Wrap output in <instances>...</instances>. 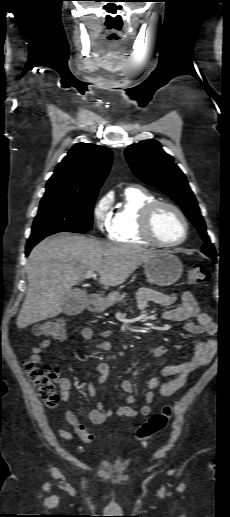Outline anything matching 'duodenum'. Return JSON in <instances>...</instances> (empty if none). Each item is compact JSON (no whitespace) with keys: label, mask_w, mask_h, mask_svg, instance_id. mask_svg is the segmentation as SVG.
I'll use <instances>...</instances> for the list:
<instances>
[{"label":"duodenum","mask_w":230,"mask_h":517,"mask_svg":"<svg viewBox=\"0 0 230 517\" xmlns=\"http://www.w3.org/2000/svg\"><path fill=\"white\" fill-rule=\"evenodd\" d=\"M88 304H89V310L91 312H94V313L100 312L103 307V299L96 294H92L89 296Z\"/></svg>","instance_id":"duodenum-1"}]
</instances>
